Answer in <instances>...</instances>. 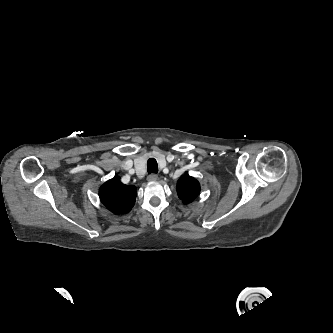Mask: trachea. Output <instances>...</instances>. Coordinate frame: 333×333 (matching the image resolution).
Returning <instances> with one entry per match:
<instances>
[{"instance_id": "1", "label": "trachea", "mask_w": 333, "mask_h": 333, "mask_svg": "<svg viewBox=\"0 0 333 333\" xmlns=\"http://www.w3.org/2000/svg\"><path fill=\"white\" fill-rule=\"evenodd\" d=\"M147 171L149 174L158 172V164L154 158H150L147 161Z\"/></svg>"}]
</instances>
